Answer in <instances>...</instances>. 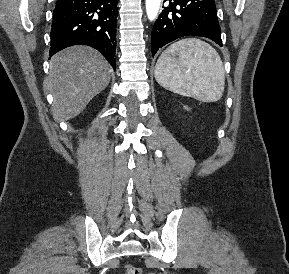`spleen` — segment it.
Segmentation results:
<instances>
[{
  "label": "spleen",
  "instance_id": "spleen-1",
  "mask_svg": "<svg viewBox=\"0 0 289 274\" xmlns=\"http://www.w3.org/2000/svg\"><path fill=\"white\" fill-rule=\"evenodd\" d=\"M155 79L174 93L202 102H216L224 92L225 70L211 45L186 38L173 43L160 55Z\"/></svg>",
  "mask_w": 289,
  "mask_h": 274
}]
</instances>
